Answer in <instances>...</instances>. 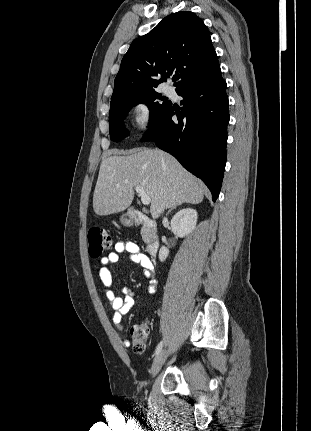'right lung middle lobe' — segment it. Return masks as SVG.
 <instances>
[{
  "label": "right lung middle lobe",
  "instance_id": "1",
  "mask_svg": "<svg viewBox=\"0 0 311 431\" xmlns=\"http://www.w3.org/2000/svg\"><path fill=\"white\" fill-rule=\"evenodd\" d=\"M156 91H147L132 95L121 96L111 99L109 124H110V139L113 141H121L129 135V132L124 127V119L129 110L139 104L144 103L150 110V122L154 121L163 114L170 106L171 101L166 100Z\"/></svg>",
  "mask_w": 311,
  "mask_h": 431
}]
</instances>
